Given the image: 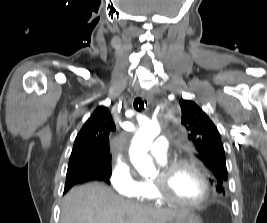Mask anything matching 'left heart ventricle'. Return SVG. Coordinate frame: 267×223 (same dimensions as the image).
Masks as SVG:
<instances>
[{
	"label": "left heart ventricle",
	"mask_w": 267,
	"mask_h": 223,
	"mask_svg": "<svg viewBox=\"0 0 267 223\" xmlns=\"http://www.w3.org/2000/svg\"><path fill=\"white\" fill-rule=\"evenodd\" d=\"M169 192L182 200L197 201L202 198L205 187L198 173L187 166L178 168L169 178Z\"/></svg>",
	"instance_id": "1"
}]
</instances>
